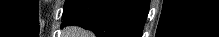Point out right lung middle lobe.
I'll use <instances>...</instances> for the list:
<instances>
[{
  "mask_svg": "<svg viewBox=\"0 0 219 37\" xmlns=\"http://www.w3.org/2000/svg\"><path fill=\"white\" fill-rule=\"evenodd\" d=\"M76 0H66L65 1V5H64V9H66L68 6H70L71 4H73Z\"/></svg>",
  "mask_w": 219,
  "mask_h": 37,
  "instance_id": "right-lung-middle-lobe-1",
  "label": "right lung middle lobe"
}]
</instances>
